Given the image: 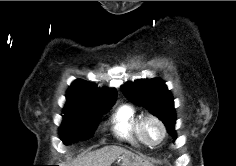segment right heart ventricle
Masks as SVG:
<instances>
[{
	"label": "right heart ventricle",
	"instance_id": "right-heart-ventricle-1",
	"mask_svg": "<svg viewBox=\"0 0 236 166\" xmlns=\"http://www.w3.org/2000/svg\"><path fill=\"white\" fill-rule=\"evenodd\" d=\"M142 117L143 114L133 105L122 104L112 115V129L117 137L132 145H145L139 131Z\"/></svg>",
	"mask_w": 236,
	"mask_h": 166
}]
</instances>
